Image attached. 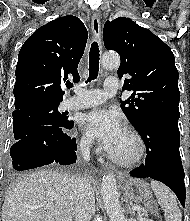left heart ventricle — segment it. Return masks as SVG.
I'll return each mask as SVG.
<instances>
[{
	"label": "left heart ventricle",
	"instance_id": "1",
	"mask_svg": "<svg viewBox=\"0 0 190 221\" xmlns=\"http://www.w3.org/2000/svg\"><path fill=\"white\" fill-rule=\"evenodd\" d=\"M108 151L121 159H131L137 153V143L129 133L123 130Z\"/></svg>",
	"mask_w": 190,
	"mask_h": 221
}]
</instances>
